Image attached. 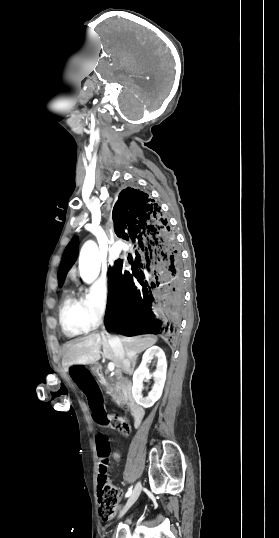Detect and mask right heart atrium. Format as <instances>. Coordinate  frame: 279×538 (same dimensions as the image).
I'll return each mask as SVG.
<instances>
[{"label": "right heart atrium", "mask_w": 279, "mask_h": 538, "mask_svg": "<svg viewBox=\"0 0 279 538\" xmlns=\"http://www.w3.org/2000/svg\"><path fill=\"white\" fill-rule=\"evenodd\" d=\"M83 297L89 329H95L103 323L111 310L109 291L105 286L94 284Z\"/></svg>", "instance_id": "1"}]
</instances>
